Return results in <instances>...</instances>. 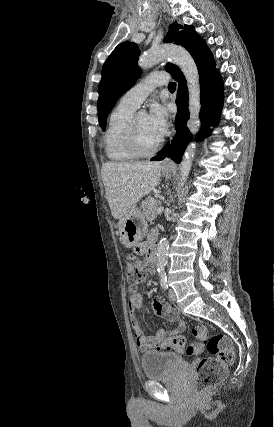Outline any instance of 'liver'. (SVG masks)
<instances>
[{
  "label": "liver",
  "mask_w": 274,
  "mask_h": 427,
  "mask_svg": "<svg viewBox=\"0 0 274 427\" xmlns=\"http://www.w3.org/2000/svg\"><path fill=\"white\" fill-rule=\"evenodd\" d=\"M101 174L111 214L114 219H121L155 190L161 166L160 162H108L103 164Z\"/></svg>",
  "instance_id": "liver-1"
}]
</instances>
